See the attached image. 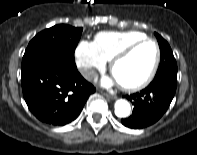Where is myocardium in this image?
I'll list each match as a JSON object with an SVG mask.
<instances>
[{"instance_id": "1", "label": "myocardium", "mask_w": 197, "mask_h": 155, "mask_svg": "<svg viewBox=\"0 0 197 155\" xmlns=\"http://www.w3.org/2000/svg\"><path fill=\"white\" fill-rule=\"evenodd\" d=\"M144 43H152L155 46L156 56H155V60L153 62V65H152L149 73L147 74V76L142 81H140L139 83H136V84H133V85H125V84L119 83L120 87L124 91L137 92V91H140V90L144 89L145 87H147L152 82V80L154 79V77L157 73V70H158V67H159V64H160V60H161L160 46L155 39L146 37V38L137 40L135 42H132V43L126 45L125 47L120 49L117 53H115L114 56L111 58L110 71L113 73L114 66L116 65L117 62H119L123 58L127 57L134 49H136L138 46H140Z\"/></svg>"}]
</instances>
